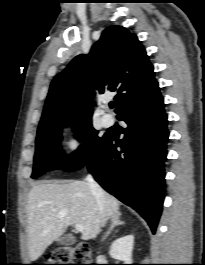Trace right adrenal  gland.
Returning a JSON list of instances; mask_svg holds the SVG:
<instances>
[{
  "label": "right adrenal gland",
  "instance_id": "2a0ac1e0",
  "mask_svg": "<svg viewBox=\"0 0 205 265\" xmlns=\"http://www.w3.org/2000/svg\"><path fill=\"white\" fill-rule=\"evenodd\" d=\"M125 223L120 221V214H116L112 217V224L109 228V230L106 232V234L103 236L102 241H104L109 234L112 232V230L116 227V226H120V225H124Z\"/></svg>",
  "mask_w": 205,
  "mask_h": 265
}]
</instances>
